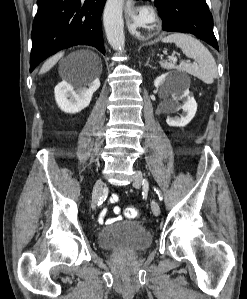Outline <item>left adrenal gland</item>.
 <instances>
[{
    "mask_svg": "<svg viewBox=\"0 0 247 299\" xmlns=\"http://www.w3.org/2000/svg\"><path fill=\"white\" fill-rule=\"evenodd\" d=\"M149 59L147 60V62H146V64H145V66H149V67H151L152 69H153V67L149 64Z\"/></svg>",
    "mask_w": 247,
    "mask_h": 299,
    "instance_id": "1",
    "label": "left adrenal gland"
}]
</instances>
